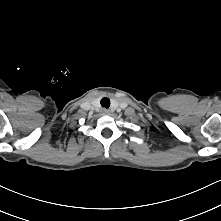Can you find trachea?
Returning <instances> with one entry per match:
<instances>
[{
	"label": "trachea",
	"mask_w": 221,
	"mask_h": 221,
	"mask_svg": "<svg viewBox=\"0 0 221 221\" xmlns=\"http://www.w3.org/2000/svg\"><path fill=\"white\" fill-rule=\"evenodd\" d=\"M100 103L102 107L107 108V109L110 106V100L107 97L102 98Z\"/></svg>",
	"instance_id": "3493384b"
}]
</instances>
